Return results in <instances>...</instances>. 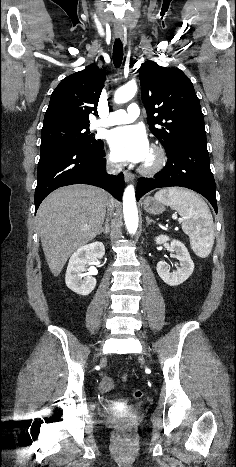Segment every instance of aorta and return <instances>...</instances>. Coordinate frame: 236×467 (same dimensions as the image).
<instances>
[{"mask_svg": "<svg viewBox=\"0 0 236 467\" xmlns=\"http://www.w3.org/2000/svg\"><path fill=\"white\" fill-rule=\"evenodd\" d=\"M137 84L130 81L114 94V101L117 104L126 103L132 99L137 92ZM123 214L125 225L130 234H135L138 228V210L135 199V190L133 185H128L123 194Z\"/></svg>", "mask_w": 236, "mask_h": 467, "instance_id": "obj_1", "label": "aorta"}]
</instances>
